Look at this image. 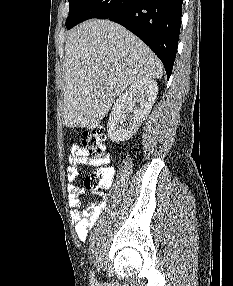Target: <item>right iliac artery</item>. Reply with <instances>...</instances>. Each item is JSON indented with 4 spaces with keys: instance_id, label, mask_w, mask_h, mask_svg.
I'll return each instance as SVG.
<instances>
[{
    "instance_id": "82829eb1",
    "label": "right iliac artery",
    "mask_w": 233,
    "mask_h": 286,
    "mask_svg": "<svg viewBox=\"0 0 233 286\" xmlns=\"http://www.w3.org/2000/svg\"><path fill=\"white\" fill-rule=\"evenodd\" d=\"M90 282H91L92 286H94L96 284V280H95L93 272H91V274H90Z\"/></svg>"
}]
</instances>
